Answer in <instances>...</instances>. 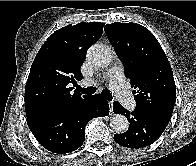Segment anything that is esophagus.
<instances>
[{"instance_id": "esophagus-1", "label": "esophagus", "mask_w": 196, "mask_h": 166, "mask_svg": "<svg viewBox=\"0 0 196 166\" xmlns=\"http://www.w3.org/2000/svg\"><path fill=\"white\" fill-rule=\"evenodd\" d=\"M109 106H110V114L112 115L114 112H113V102L110 101L109 102Z\"/></svg>"}]
</instances>
